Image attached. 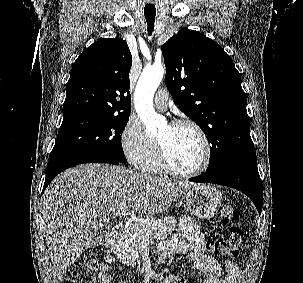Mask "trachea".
I'll return each instance as SVG.
<instances>
[{"label": "trachea", "mask_w": 303, "mask_h": 283, "mask_svg": "<svg viewBox=\"0 0 303 283\" xmlns=\"http://www.w3.org/2000/svg\"><path fill=\"white\" fill-rule=\"evenodd\" d=\"M148 24V34L151 35L154 30V20L155 16L145 15Z\"/></svg>", "instance_id": "1"}]
</instances>
